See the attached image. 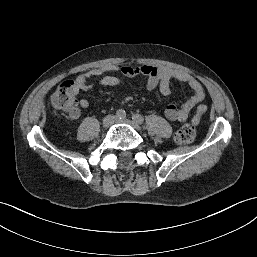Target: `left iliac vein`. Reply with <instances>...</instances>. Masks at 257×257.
I'll use <instances>...</instances> for the list:
<instances>
[{
  "mask_svg": "<svg viewBox=\"0 0 257 257\" xmlns=\"http://www.w3.org/2000/svg\"><path fill=\"white\" fill-rule=\"evenodd\" d=\"M117 123H125V124H129V125H131L134 129H136V130H141V127H140V125L137 123V122H135V121H131V120H129V119H116L115 120Z\"/></svg>",
  "mask_w": 257,
  "mask_h": 257,
  "instance_id": "left-iliac-vein-1",
  "label": "left iliac vein"
}]
</instances>
